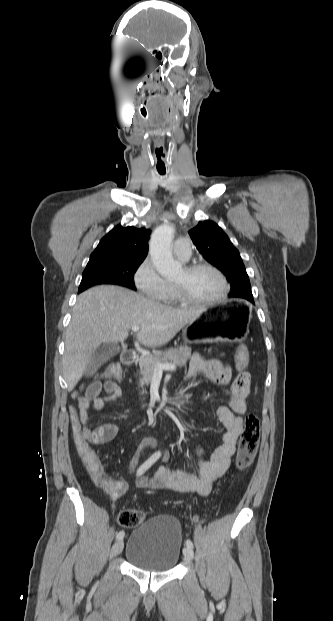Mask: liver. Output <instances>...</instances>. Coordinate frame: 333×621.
Wrapping results in <instances>:
<instances>
[{"mask_svg": "<svg viewBox=\"0 0 333 621\" xmlns=\"http://www.w3.org/2000/svg\"><path fill=\"white\" fill-rule=\"evenodd\" d=\"M203 309L172 308L118 286H97L81 293L66 331L63 377L73 390L104 343L124 341L134 326L148 348L168 343Z\"/></svg>", "mask_w": 333, "mask_h": 621, "instance_id": "6515ba94", "label": "liver"}]
</instances>
